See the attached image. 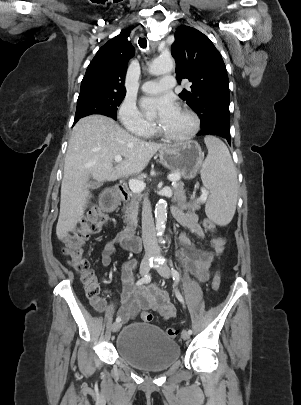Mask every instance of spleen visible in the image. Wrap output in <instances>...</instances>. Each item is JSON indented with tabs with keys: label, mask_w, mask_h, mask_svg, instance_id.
Returning <instances> with one entry per match:
<instances>
[{
	"label": "spleen",
	"mask_w": 301,
	"mask_h": 405,
	"mask_svg": "<svg viewBox=\"0 0 301 405\" xmlns=\"http://www.w3.org/2000/svg\"><path fill=\"white\" fill-rule=\"evenodd\" d=\"M208 155L202 164L201 178L209 190L207 216L219 225L233 218L237 203V174L227 146L214 136H206Z\"/></svg>",
	"instance_id": "obj_1"
}]
</instances>
